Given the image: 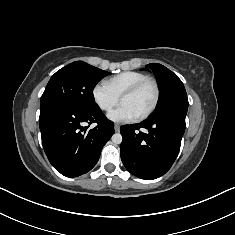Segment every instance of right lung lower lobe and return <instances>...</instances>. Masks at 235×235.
Returning <instances> with one entry per match:
<instances>
[{
    "label": "right lung lower lobe",
    "instance_id": "obj_1",
    "mask_svg": "<svg viewBox=\"0 0 235 235\" xmlns=\"http://www.w3.org/2000/svg\"><path fill=\"white\" fill-rule=\"evenodd\" d=\"M85 123L97 126L88 129ZM39 127L44 151L54 168L67 177L90 171L114 134V124L98 106L76 110L63 105L40 107Z\"/></svg>",
    "mask_w": 235,
    "mask_h": 235
}]
</instances>
